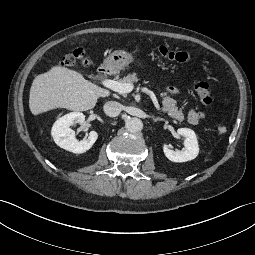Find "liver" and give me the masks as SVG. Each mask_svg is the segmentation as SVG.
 Returning <instances> with one entry per match:
<instances>
[{
    "label": "liver",
    "instance_id": "liver-1",
    "mask_svg": "<svg viewBox=\"0 0 255 255\" xmlns=\"http://www.w3.org/2000/svg\"><path fill=\"white\" fill-rule=\"evenodd\" d=\"M109 95L108 90L89 82L80 73L54 66L33 80L29 108L33 115L57 108L87 111L95 107L99 97Z\"/></svg>",
    "mask_w": 255,
    "mask_h": 255
}]
</instances>
